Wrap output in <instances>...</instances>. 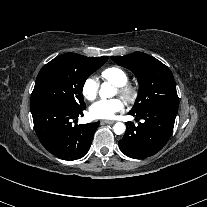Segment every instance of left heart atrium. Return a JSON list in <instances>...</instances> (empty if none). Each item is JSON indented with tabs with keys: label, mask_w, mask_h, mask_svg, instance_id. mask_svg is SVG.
<instances>
[{
	"label": "left heart atrium",
	"mask_w": 207,
	"mask_h": 207,
	"mask_svg": "<svg viewBox=\"0 0 207 207\" xmlns=\"http://www.w3.org/2000/svg\"><path fill=\"white\" fill-rule=\"evenodd\" d=\"M124 108V103L119 99L99 100L91 105L90 115L93 118L107 120L122 112Z\"/></svg>",
	"instance_id": "1"
}]
</instances>
